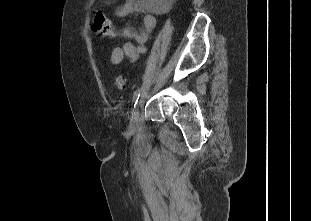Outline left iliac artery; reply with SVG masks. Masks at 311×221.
Returning <instances> with one entry per match:
<instances>
[{"label": "left iliac artery", "mask_w": 311, "mask_h": 221, "mask_svg": "<svg viewBox=\"0 0 311 221\" xmlns=\"http://www.w3.org/2000/svg\"><path fill=\"white\" fill-rule=\"evenodd\" d=\"M141 95V88H138L134 94H133V98H132V104L134 105V107L136 106L138 99Z\"/></svg>", "instance_id": "left-iliac-artery-1"}]
</instances>
